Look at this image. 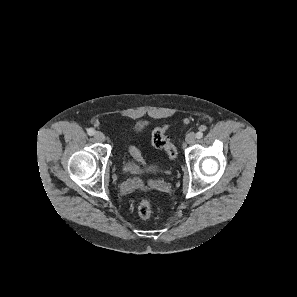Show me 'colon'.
<instances>
[{
  "instance_id": "obj_1",
  "label": "colon",
  "mask_w": 297,
  "mask_h": 297,
  "mask_svg": "<svg viewBox=\"0 0 297 297\" xmlns=\"http://www.w3.org/2000/svg\"><path fill=\"white\" fill-rule=\"evenodd\" d=\"M168 126L167 125H162L154 129L152 132V144L154 147L158 149H163L166 151L168 157L171 160H175L177 158V149L176 147L172 144L170 139L166 135V130ZM129 151L131 155L140 163L144 164L143 157L140 153V151L134 147L131 146L129 148ZM152 204L150 200L148 199H143L139 205H138V215L142 219H148L152 215Z\"/></svg>"
}]
</instances>
